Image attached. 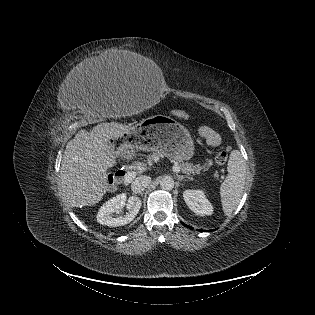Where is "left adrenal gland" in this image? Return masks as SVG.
Listing matches in <instances>:
<instances>
[{"mask_svg":"<svg viewBox=\"0 0 315 315\" xmlns=\"http://www.w3.org/2000/svg\"><path fill=\"white\" fill-rule=\"evenodd\" d=\"M177 178H178V181H182L183 179L191 180V178L188 176H183V175H178V174H177Z\"/></svg>","mask_w":315,"mask_h":315,"instance_id":"obj_1","label":"left adrenal gland"}]
</instances>
